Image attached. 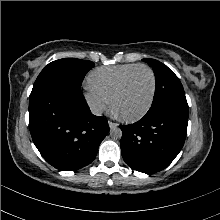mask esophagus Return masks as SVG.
<instances>
[{
  "instance_id": "34e87169",
  "label": "esophagus",
  "mask_w": 220,
  "mask_h": 220,
  "mask_svg": "<svg viewBox=\"0 0 220 220\" xmlns=\"http://www.w3.org/2000/svg\"><path fill=\"white\" fill-rule=\"evenodd\" d=\"M108 124H109V127H110L111 129L116 128V127L118 126L117 123H114V122H112V121H109Z\"/></svg>"
}]
</instances>
